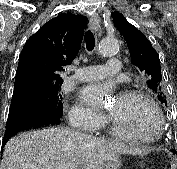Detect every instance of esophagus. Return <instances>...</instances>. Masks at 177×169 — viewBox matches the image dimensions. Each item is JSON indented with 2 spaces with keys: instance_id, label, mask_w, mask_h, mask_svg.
Wrapping results in <instances>:
<instances>
[{
  "instance_id": "esophagus-1",
  "label": "esophagus",
  "mask_w": 177,
  "mask_h": 169,
  "mask_svg": "<svg viewBox=\"0 0 177 169\" xmlns=\"http://www.w3.org/2000/svg\"><path fill=\"white\" fill-rule=\"evenodd\" d=\"M89 28L92 31H98L100 29V18L98 14H94L89 19Z\"/></svg>"
}]
</instances>
